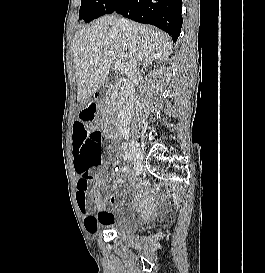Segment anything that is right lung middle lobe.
<instances>
[{"label":"right lung middle lobe","instance_id":"1","mask_svg":"<svg viewBox=\"0 0 265 273\" xmlns=\"http://www.w3.org/2000/svg\"><path fill=\"white\" fill-rule=\"evenodd\" d=\"M119 0H82L79 19L90 22L104 14L112 13Z\"/></svg>","mask_w":265,"mask_h":273}]
</instances>
